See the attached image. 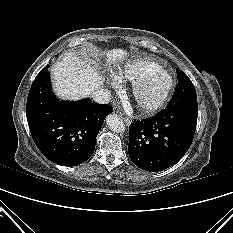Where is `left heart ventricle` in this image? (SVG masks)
<instances>
[{
	"mask_svg": "<svg viewBox=\"0 0 233 233\" xmlns=\"http://www.w3.org/2000/svg\"><path fill=\"white\" fill-rule=\"evenodd\" d=\"M166 85V79L162 75H156L145 90V98L150 100L158 96Z\"/></svg>",
	"mask_w": 233,
	"mask_h": 233,
	"instance_id": "b2bd125f",
	"label": "left heart ventricle"
}]
</instances>
